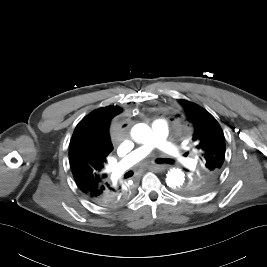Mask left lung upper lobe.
<instances>
[{
	"label": "left lung upper lobe",
	"mask_w": 267,
	"mask_h": 267,
	"mask_svg": "<svg viewBox=\"0 0 267 267\" xmlns=\"http://www.w3.org/2000/svg\"><path fill=\"white\" fill-rule=\"evenodd\" d=\"M187 121L193 126L192 140L201 154V164L189 180L179 188L182 195H199L216 184L223 171L225 138L216 119L205 109L180 99Z\"/></svg>",
	"instance_id": "1"
}]
</instances>
